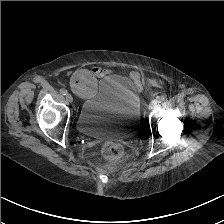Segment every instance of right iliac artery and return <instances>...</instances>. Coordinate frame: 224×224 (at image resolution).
Masks as SVG:
<instances>
[{"label":"right iliac artery","mask_w":224,"mask_h":224,"mask_svg":"<svg viewBox=\"0 0 224 224\" xmlns=\"http://www.w3.org/2000/svg\"><path fill=\"white\" fill-rule=\"evenodd\" d=\"M60 93H61L62 95H66V94H67V91H66L64 88H62V89H60Z\"/></svg>","instance_id":"1"}]
</instances>
